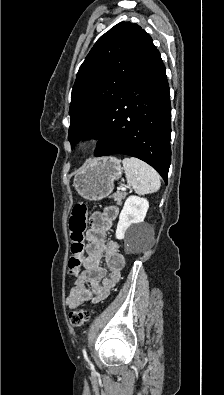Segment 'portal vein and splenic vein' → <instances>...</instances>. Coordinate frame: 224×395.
I'll list each match as a JSON object with an SVG mask.
<instances>
[{"instance_id":"18ae733b","label":"portal vein and splenic vein","mask_w":224,"mask_h":395,"mask_svg":"<svg viewBox=\"0 0 224 395\" xmlns=\"http://www.w3.org/2000/svg\"><path fill=\"white\" fill-rule=\"evenodd\" d=\"M120 190H122V191H125V190H126V188H124V187H121V188H120Z\"/></svg>"}]
</instances>
